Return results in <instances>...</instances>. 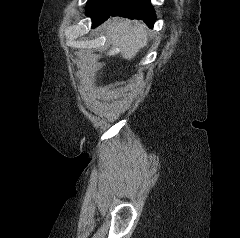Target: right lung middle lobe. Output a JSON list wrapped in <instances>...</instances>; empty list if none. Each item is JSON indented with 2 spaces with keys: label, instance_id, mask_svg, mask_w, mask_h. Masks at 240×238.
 <instances>
[{
  "label": "right lung middle lobe",
  "instance_id": "dd1d6c3e",
  "mask_svg": "<svg viewBox=\"0 0 240 238\" xmlns=\"http://www.w3.org/2000/svg\"><path fill=\"white\" fill-rule=\"evenodd\" d=\"M124 1L125 0H88L86 15L92 18L93 27H95L98 21L114 12Z\"/></svg>",
  "mask_w": 240,
  "mask_h": 238
}]
</instances>
